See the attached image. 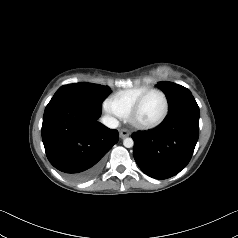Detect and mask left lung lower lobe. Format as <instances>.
I'll return each instance as SVG.
<instances>
[{"label":"left lung lower lobe","mask_w":238,"mask_h":238,"mask_svg":"<svg viewBox=\"0 0 238 238\" xmlns=\"http://www.w3.org/2000/svg\"><path fill=\"white\" fill-rule=\"evenodd\" d=\"M199 116L194 97H187L171 107L158 127L133 133V156L139 168L160 180L185 168L198 141Z\"/></svg>","instance_id":"obj_1"}]
</instances>
